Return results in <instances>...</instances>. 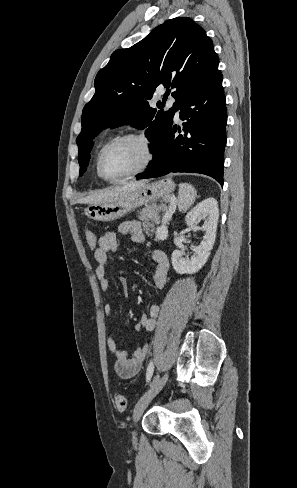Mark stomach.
I'll use <instances>...</instances> for the list:
<instances>
[{
	"label": "stomach",
	"mask_w": 297,
	"mask_h": 488,
	"mask_svg": "<svg viewBox=\"0 0 297 488\" xmlns=\"http://www.w3.org/2000/svg\"><path fill=\"white\" fill-rule=\"evenodd\" d=\"M175 185L170 178L146 184L136 190L125 192L111 202L89 204L84 214L96 221L109 222L124 217L141 205L154 204L166 199L174 191Z\"/></svg>",
	"instance_id": "stomach-1"
}]
</instances>
